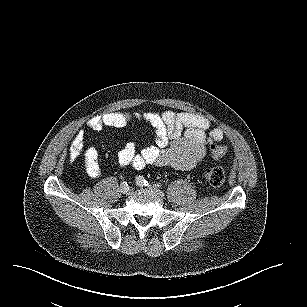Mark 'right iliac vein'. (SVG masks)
Returning a JSON list of instances; mask_svg holds the SVG:
<instances>
[{
  "mask_svg": "<svg viewBox=\"0 0 307 307\" xmlns=\"http://www.w3.org/2000/svg\"><path fill=\"white\" fill-rule=\"evenodd\" d=\"M121 192L125 195H129L131 193V188H129L128 186L121 187Z\"/></svg>",
  "mask_w": 307,
  "mask_h": 307,
  "instance_id": "1",
  "label": "right iliac vein"
}]
</instances>
